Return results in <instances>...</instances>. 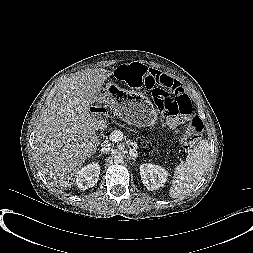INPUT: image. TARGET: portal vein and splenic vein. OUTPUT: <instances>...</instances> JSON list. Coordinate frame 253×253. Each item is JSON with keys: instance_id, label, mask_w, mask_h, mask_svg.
Returning a JSON list of instances; mask_svg holds the SVG:
<instances>
[{"instance_id": "obj_1", "label": "portal vein and splenic vein", "mask_w": 253, "mask_h": 253, "mask_svg": "<svg viewBox=\"0 0 253 253\" xmlns=\"http://www.w3.org/2000/svg\"><path fill=\"white\" fill-rule=\"evenodd\" d=\"M110 139L115 142L121 141L123 139V134L119 130H114L110 134Z\"/></svg>"}]
</instances>
